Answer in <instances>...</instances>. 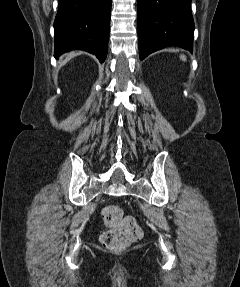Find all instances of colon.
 <instances>
[{
	"instance_id": "colon-1",
	"label": "colon",
	"mask_w": 240,
	"mask_h": 287,
	"mask_svg": "<svg viewBox=\"0 0 240 287\" xmlns=\"http://www.w3.org/2000/svg\"><path fill=\"white\" fill-rule=\"evenodd\" d=\"M102 218L107 227L100 237L107 250L120 253L139 240L142 230L132 216H124L118 205H108L102 210Z\"/></svg>"
}]
</instances>
